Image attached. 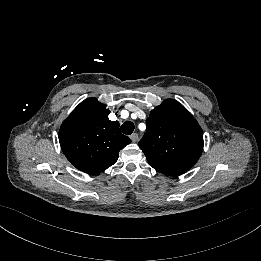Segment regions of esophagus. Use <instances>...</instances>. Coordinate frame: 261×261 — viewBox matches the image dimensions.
I'll return each instance as SVG.
<instances>
[{
  "instance_id": "esophagus-1",
  "label": "esophagus",
  "mask_w": 261,
  "mask_h": 261,
  "mask_svg": "<svg viewBox=\"0 0 261 261\" xmlns=\"http://www.w3.org/2000/svg\"><path fill=\"white\" fill-rule=\"evenodd\" d=\"M130 138H131V140H132L133 142H137L138 139H139V136H138L137 133H133V134L130 135Z\"/></svg>"
}]
</instances>
